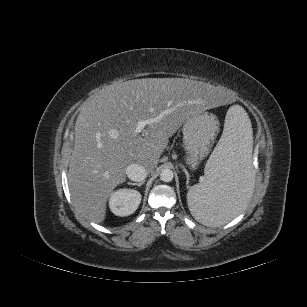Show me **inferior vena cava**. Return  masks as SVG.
<instances>
[{"label": "inferior vena cava", "instance_id": "1", "mask_svg": "<svg viewBox=\"0 0 307 307\" xmlns=\"http://www.w3.org/2000/svg\"><path fill=\"white\" fill-rule=\"evenodd\" d=\"M126 174L132 181L140 182L143 181L147 176V171L144 166L133 163L127 166Z\"/></svg>", "mask_w": 307, "mask_h": 307}]
</instances>
